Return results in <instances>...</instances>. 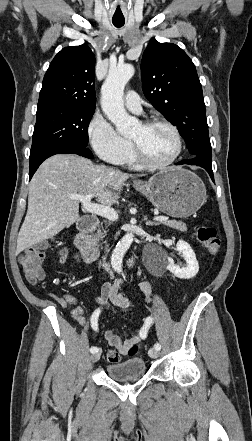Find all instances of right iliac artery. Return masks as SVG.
Segmentation results:
<instances>
[{"mask_svg":"<svg viewBox=\"0 0 252 441\" xmlns=\"http://www.w3.org/2000/svg\"><path fill=\"white\" fill-rule=\"evenodd\" d=\"M99 314H100V310L96 309L94 311V313L92 314V316H91V324H92V327L95 330H98V317H99ZM98 351H99V349L97 347H91L90 348V352L91 353H96Z\"/></svg>","mask_w":252,"mask_h":441,"instance_id":"1","label":"right iliac artery"}]
</instances>
